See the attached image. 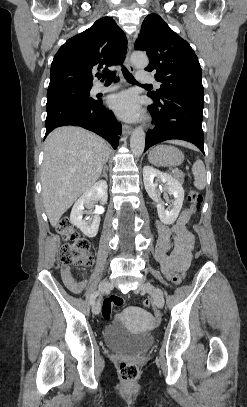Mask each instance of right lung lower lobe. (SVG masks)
<instances>
[{
    "mask_svg": "<svg viewBox=\"0 0 247 407\" xmlns=\"http://www.w3.org/2000/svg\"><path fill=\"white\" fill-rule=\"evenodd\" d=\"M45 125V137L56 127L81 126L106 139L114 149L118 146L117 134L122 131L112 111L106 109L100 99L89 104L67 103L47 108Z\"/></svg>",
    "mask_w": 247,
    "mask_h": 407,
    "instance_id": "1",
    "label": "right lung lower lobe"
}]
</instances>
